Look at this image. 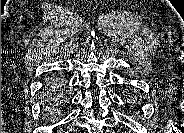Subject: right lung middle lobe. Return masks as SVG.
Segmentation results:
<instances>
[{"mask_svg": "<svg viewBox=\"0 0 184 133\" xmlns=\"http://www.w3.org/2000/svg\"><path fill=\"white\" fill-rule=\"evenodd\" d=\"M55 84V82H52L50 85H51V87L49 88V90H48V93L46 92V94L44 95V98H45V100H46V103H48V102H50V104H55L56 103V96L54 95V92H53V90L55 89V91H56V89H57V86L56 85H54Z\"/></svg>", "mask_w": 184, "mask_h": 133, "instance_id": "dd1d6c3e", "label": "right lung middle lobe"}]
</instances>
